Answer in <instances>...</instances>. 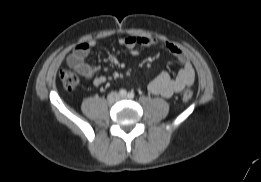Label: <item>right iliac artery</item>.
Here are the masks:
<instances>
[{
    "label": "right iliac artery",
    "instance_id": "obj_1",
    "mask_svg": "<svg viewBox=\"0 0 261 182\" xmlns=\"http://www.w3.org/2000/svg\"><path fill=\"white\" fill-rule=\"evenodd\" d=\"M119 95L122 96V97H125L127 95V91L125 89H121L119 91Z\"/></svg>",
    "mask_w": 261,
    "mask_h": 182
}]
</instances>
